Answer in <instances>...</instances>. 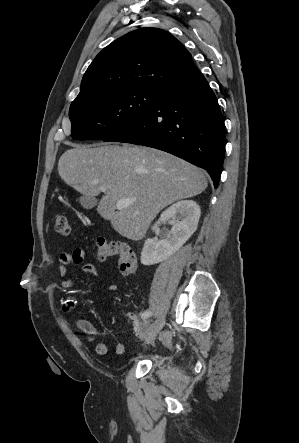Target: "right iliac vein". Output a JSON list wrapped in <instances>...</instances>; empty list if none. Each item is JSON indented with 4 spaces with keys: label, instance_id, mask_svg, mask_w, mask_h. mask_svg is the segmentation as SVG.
I'll use <instances>...</instances> for the list:
<instances>
[{
    "label": "right iliac vein",
    "instance_id": "obj_1",
    "mask_svg": "<svg viewBox=\"0 0 299 443\" xmlns=\"http://www.w3.org/2000/svg\"><path fill=\"white\" fill-rule=\"evenodd\" d=\"M164 322H165L164 318H160V319L156 320L155 322H153L152 324H150L149 320L145 321V324L147 326H149L148 332L146 335V339H145L146 344H149L154 341V339L156 338V336L158 335V333L160 332V330L164 326Z\"/></svg>",
    "mask_w": 299,
    "mask_h": 443
}]
</instances>
